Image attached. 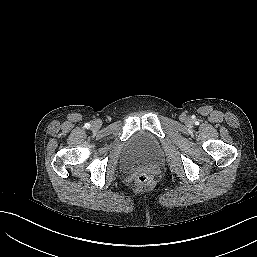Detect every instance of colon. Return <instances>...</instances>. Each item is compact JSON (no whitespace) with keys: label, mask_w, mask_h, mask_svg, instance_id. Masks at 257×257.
I'll use <instances>...</instances> for the list:
<instances>
[{"label":"colon","mask_w":257,"mask_h":257,"mask_svg":"<svg viewBox=\"0 0 257 257\" xmlns=\"http://www.w3.org/2000/svg\"><path fill=\"white\" fill-rule=\"evenodd\" d=\"M153 183V177L146 173H141L136 177V185L138 188H148Z\"/></svg>","instance_id":"obj_1"}]
</instances>
